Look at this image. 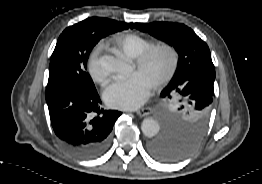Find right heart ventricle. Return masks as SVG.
I'll list each match as a JSON object with an SVG mask.
<instances>
[{
    "mask_svg": "<svg viewBox=\"0 0 262 184\" xmlns=\"http://www.w3.org/2000/svg\"><path fill=\"white\" fill-rule=\"evenodd\" d=\"M120 51L127 57L136 59L144 50L154 43L138 34L129 33L120 35L116 39Z\"/></svg>",
    "mask_w": 262,
    "mask_h": 184,
    "instance_id": "1",
    "label": "right heart ventricle"
}]
</instances>
